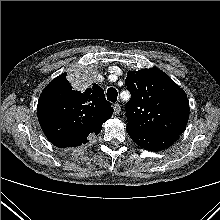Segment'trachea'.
I'll list each match as a JSON object with an SVG mask.
<instances>
[{
  "instance_id": "trachea-1",
  "label": "trachea",
  "mask_w": 220,
  "mask_h": 220,
  "mask_svg": "<svg viewBox=\"0 0 220 220\" xmlns=\"http://www.w3.org/2000/svg\"><path fill=\"white\" fill-rule=\"evenodd\" d=\"M117 96H118V93L115 88L111 87L107 90V99L109 101L115 103L117 101Z\"/></svg>"
}]
</instances>
